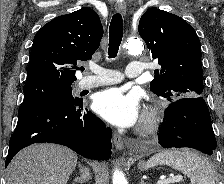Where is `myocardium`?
Segmentation results:
<instances>
[{
	"instance_id": "obj_1",
	"label": "myocardium",
	"mask_w": 224,
	"mask_h": 184,
	"mask_svg": "<svg viewBox=\"0 0 224 184\" xmlns=\"http://www.w3.org/2000/svg\"><path fill=\"white\" fill-rule=\"evenodd\" d=\"M162 122V112L156 108H147L138 125V132L142 136H149L157 132Z\"/></svg>"
}]
</instances>
